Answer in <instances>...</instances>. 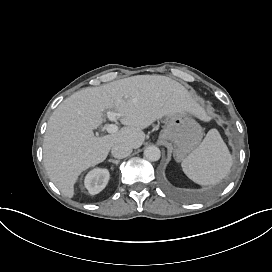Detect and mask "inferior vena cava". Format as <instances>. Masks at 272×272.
<instances>
[{
    "label": "inferior vena cava",
    "mask_w": 272,
    "mask_h": 272,
    "mask_svg": "<svg viewBox=\"0 0 272 272\" xmlns=\"http://www.w3.org/2000/svg\"><path fill=\"white\" fill-rule=\"evenodd\" d=\"M131 152H132V147L125 143L115 144L111 149V153L113 157L119 158V159L127 157L128 155L131 154Z\"/></svg>",
    "instance_id": "inferior-vena-cava-1"
}]
</instances>
